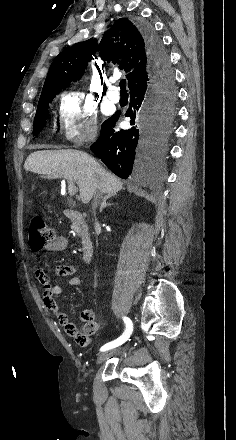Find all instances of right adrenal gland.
I'll return each mask as SVG.
<instances>
[{"label": "right adrenal gland", "mask_w": 236, "mask_h": 440, "mask_svg": "<svg viewBox=\"0 0 236 440\" xmlns=\"http://www.w3.org/2000/svg\"><path fill=\"white\" fill-rule=\"evenodd\" d=\"M114 195L112 194H107L102 198V202L100 204V212L103 211L104 208H106L107 206L112 205L111 203H107V200L111 197H113Z\"/></svg>", "instance_id": "right-adrenal-gland-1"}]
</instances>
